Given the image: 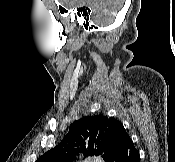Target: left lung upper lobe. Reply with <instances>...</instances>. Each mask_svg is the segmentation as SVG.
<instances>
[{
    "label": "left lung upper lobe",
    "instance_id": "obj_1",
    "mask_svg": "<svg viewBox=\"0 0 175 162\" xmlns=\"http://www.w3.org/2000/svg\"><path fill=\"white\" fill-rule=\"evenodd\" d=\"M124 133V126L116 119L102 114L84 117L70 126L60 144L36 162H72L79 153L84 157L102 154L104 161L109 162Z\"/></svg>",
    "mask_w": 175,
    "mask_h": 162
}]
</instances>
